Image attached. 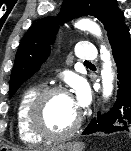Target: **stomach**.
<instances>
[{
    "instance_id": "obj_1",
    "label": "stomach",
    "mask_w": 131,
    "mask_h": 151,
    "mask_svg": "<svg viewBox=\"0 0 131 151\" xmlns=\"http://www.w3.org/2000/svg\"><path fill=\"white\" fill-rule=\"evenodd\" d=\"M84 148V143L74 141L57 145L48 151H84Z\"/></svg>"
}]
</instances>
